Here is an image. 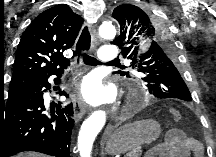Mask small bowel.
Returning a JSON list of instances; mask_svg holds the SVG:
<instances>
[{"label": "small bowel", "mask_w": 216, "mask_h": 157, "mask_svg": "<svg viewBox=\"0 0 216 157\" xmlns=\"http://www.w3.org/2000/svg\"><path fill=\"white\" fill-rule=\"evenodd\" d=\"M191 155L202 157L203 147L198 140L188 137L180 130H172L168 133L159 154L160 157H190Z\"/></svg>", "instance_id": "1"}]
</instances>
